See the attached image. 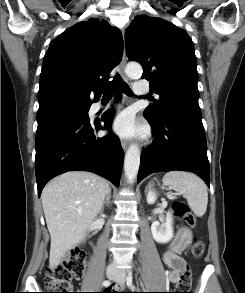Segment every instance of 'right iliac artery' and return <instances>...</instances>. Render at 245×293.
<instances>
[{
	"instance_id": "right-iliac-artery-1",
	"label": "right iliac artery",
	"mask_w": 245,
	"mask_h": 293,
	"mask_svg": "<svg viewBox=\"0 0 245 293\" xmlns=\"http://www.w3.org/2000/svg\"><path fill=\"white\" fill-rule=\"evenodd\" d=\"M102 284H103V286L108 287V286L111 285V281L110 280H105V281H103Z\"/></svg>"
}]
</instances>
